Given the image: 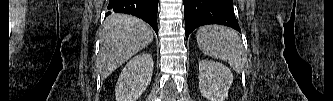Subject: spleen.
I'll list each match as a JSON object with an SVG mask.
<instances>
[{
    "mask_svg": "<svg viewBox=\"0 0 333 101\" xmlns=\"http://www.w3.org/2000/svg\"><path fill=\"white\" fill-rule=\"evenodd\" d=\"M196 40L205 55L226 61L237 73H241L247 57L236 31L224 26H203L198 29Z\"/></svg>",
    "mask_w": 333,
    "mask_h": 101,
    "instance_id": "3e777b00",
    "label": "spleen"
}]
</instances>
